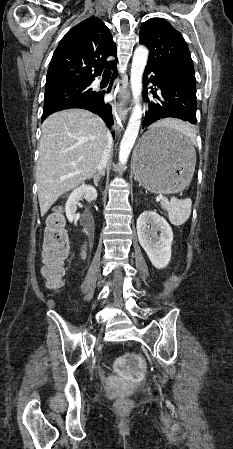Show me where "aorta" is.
<instances>
[{"mask_svg":"<svg viewBox=\"0 0 233 449\" xmlns=\"http://www.w3.org/2000/svg\"><path fill=\"white\" fill-rule=\"evenodd\" d=\"M148 49L144 46H138L134 51L132 60L130 82L134 100V107L129 119L126 131L120 143L119 162L126 164L129 154L134 146L135 140L141 125L142 110L140 106V96L142 87V76L148 59Z\"/></svg>","mask_w":233,"mask_h":449,"instance_id":"obj_1","label":"aorta"}]
</instances>
